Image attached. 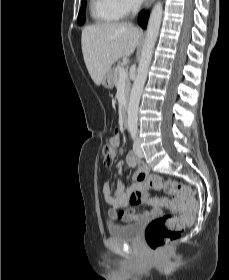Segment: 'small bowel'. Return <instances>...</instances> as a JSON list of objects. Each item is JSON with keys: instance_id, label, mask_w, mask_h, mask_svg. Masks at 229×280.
<instances>
[{"instance_id": "small-bowel-1", "label": "small bowel", "mask_w": 229, "mask_h": 280, "mask_svg": "<svg viewBox=\"0 0 229 280\" xmlns=\"http://www.w3.org/2000/svg\"><path fill=\"white\" fill-rule=\"evenodd\" d=\"M119 142L120 137L118 134H115L110 138V143L114 146H117ZM124 164L128 167H137L133 174V181L129 188L126 191L122 189L119 176H117L118 186L115 192L111 190L107 183L103 188V193L106 197V200L111 205L108 215L112 221L119 223L133 222L139 218H150L155 216L161 212L162 208L171 210L175 208L174 203L166 197H151L149 193L152 188L151 185L145 181H138L140 174L144 173L149 175L148 172H146V170L143 168V162L140 158L130 152L126 155ZM138 192L142 195L140 204H145L150 207L142 213H138L135 208V206L138 204L132 203L131 201V197Z\"/></svg>"}]
</instances>
